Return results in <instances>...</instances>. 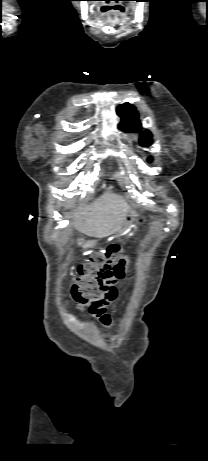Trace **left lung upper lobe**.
<instances>
[{
  "mask_svg": "<svg viewBox=\"0 0 208 461\" xmlns=\"http://www.w3.org/2000/svg\"><path fill=\"white\" fill-rule=\"evenodd\" d=\"M117 114L122 119V122L119 124V129L125 132H130L140 128L138 112L133 105L129 103L121 104L117 107ZM151 142L152 134L149 131L140 135L139 143L142 146H150ZM148 160L151 161V158Z\"/></svg>",
  "mask_w": 208,
  "mask_h": 461,
  "instance_id": "1",
  "label": "left lung upper lobe"
}]
</instances>
